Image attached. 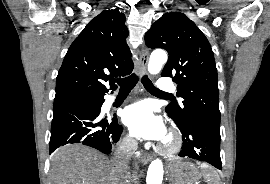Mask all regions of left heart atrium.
<instances>
[{
  "instance_id": "left-heart-atrium-1",
  "label": "left heart atrium",
  "mask_w": 270,
  "mask_h": 184,
  "mask_svg": "<svg viewBox=\"0 0 270 184\" xmlns=\"http://www.w3.org/2000/svg\"><path fill=\"white\" fill-rule=\"evenodd\" d=\"M123 121L132 135L149 140H164L166 127L152 106L141 101L127 107L123 113Z\"/></svg>"
}]
</instances>
